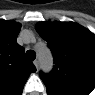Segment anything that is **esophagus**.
<instances>
[{
  "label": "esophagus",
  "instance_id": "esophagus-1",
  "mask_svg": "<svg viewBox=\"0 0 95 95\" xmlns=\"http://www.w3.org/2000/svg\"><path fill=\"white\" fill-rule=\"evenodd\" d=\"M34 65H35V67L37 68V70L39 69V61L38 60H35L34 61Z\"/></svg>",
  "mask_w": 95,
  "mask_h": 95
}]
</instances>
